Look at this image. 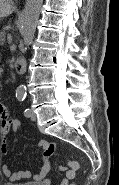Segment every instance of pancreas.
I'll return each instance as SVG.
<instances>
[{
    "mask_svg": "<svg viewBox=\"0 0 119 185\" xmlns=\"http://www.w3.org/2000/svg\"><path fill=\"white\" fill-rule=\"evenodd\" d=\"M6 35L5 31L0 32V45L4 46L6 44Z\"/></svg>",
    "mask_w": 119,
    "mask_h": 185,
    "instance_id": "obj_1",
    "label": "pancreas"
}]
</instances>
